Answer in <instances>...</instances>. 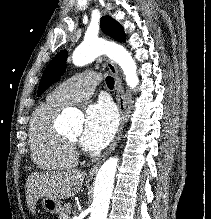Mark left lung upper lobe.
<instances>
[{
	"label": "left lung upper lobe",
	"instance_id": "1",
	"mask_svg": "<svg viewBox=\"0 0 211 219\" xmlns=\"http://www.w3.org/2000/svg\"><path fill=\"white\" fill-rule=\"evenodd\" d=\"M101 29L105 34L111 36L119 42H125L126 40L123 27L110 16L101 18ZM67 56L68 52L66 50H62L48 64L39 83L38 96H40L42 92H44L64 73Z\"/></svg>",
	"mask_w": 211,
	"mask_h": 219
}]
</instances>
